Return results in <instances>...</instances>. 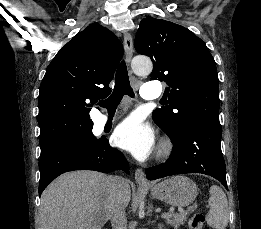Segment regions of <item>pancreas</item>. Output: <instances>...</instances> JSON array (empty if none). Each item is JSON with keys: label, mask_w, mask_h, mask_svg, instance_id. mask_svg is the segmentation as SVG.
<instances>
[{"label": "pancreas", "mask_w": 261, "mask_h": 229, "mask_svg": "<svg viewBox=\"0 0 261 229\" xmlns=\"http://www.w3.org/2000/svg\"><path fill=\"white\" fill-rule=\"evenodd\" d=\"M189 215L190 211H184V213H172V217H166V223L167 225H171V227H174V229H178L180 225H184Z\"/></svg>", "instance_id": "1"}]
</instances>
